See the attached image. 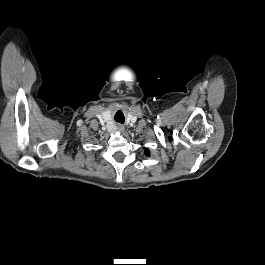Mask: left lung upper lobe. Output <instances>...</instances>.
Wrapping results in <instances>:
<instances>
[{"instance_id":"left-lung-upper-lobe-1","label":"left lung upper lobe","mask_w":265,"mask_h":265,"mask_svg":"<svg viewBox=\"0 0 265 265\" xmlns=\"http://www.w3.org/2000/svg\"><path fill=\"white\" fill-rule=\"evenodd\" d=\"M145 154H146L147 156H149V150H148V149L145 150Z\"/></svg>"}]
</instances>
